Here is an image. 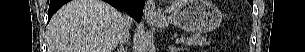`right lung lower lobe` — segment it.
<instances>
[{
    "label": "right lung lower lobe",
    "mask_w": 305,
    "mask_h": 52,
    "mask_svg": "<svg viewBox=\"0 0 305 52\" xmlns=\"http://www.w3.org/2000/svg\"><path fill=\"white\" fill-rule=\"evenodd\" d=\"M103 1L109 3L110 5H112L115 8L130 12V14L132 13V17L137 22H139L141 20L144 2H142V1L135 2L134 0H103ZM67 2H68V0H51L50 1V6H49V10H48V22L50 21L53 14Z\"/></svg>",
    "instance_id": "right-lung-lower-lobe-1"
}]
</instances>
